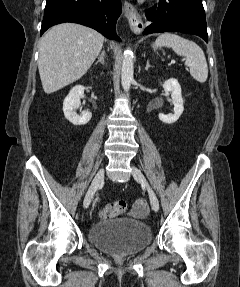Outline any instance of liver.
Wrapping results in <instances>:
<instances>
[{
    "mask_svg": "<svg viewBox=\"0 0 240 287\" xmlns=\"http://www.w3.org/2000/svg\"><path fill=\"white\" fill-rule=\"evenodd\" d=\"M104 37L89 27L63 23L41 39L38 69L45 93L51 94L80 79L99 55Z\"/></svg>",
    "mask_w": 240,
    "mask_h": 287,
    "instance_id": "6515ba94",
    "label": "liver"
}]
</instances>
